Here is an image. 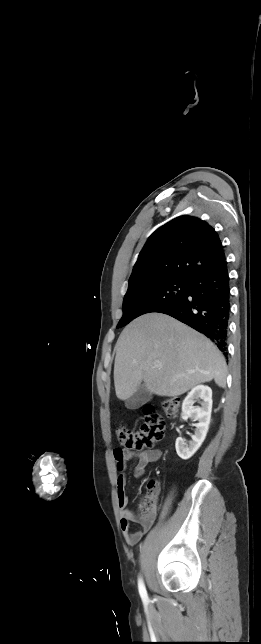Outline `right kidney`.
Instances as JSON below:
<instances>
[{"label": "right kidney", "instance_id": "1", "mask_svg": "<svg viewBox=\"0 0 261 644\" xmlns=\"http://www.w3.org/2000/svg\"><path fill=\"white\" fill-rule=\"evenodd\" d=\"M201 399L200 407H194L193 404L196 400ZM212 411V390L208 386L198 385L194 387L186 396L182 404L183 420L188 418L193 421H198L195 424L194 435L191 436L192 440L188 443L181 437L176 439L175 448L178 456L184 460L192 457L195 452L202 445L206 434L208 432L210 418Z\"/></svg>", "mask_w": 261, "mask_h": 644}]
</instances>
